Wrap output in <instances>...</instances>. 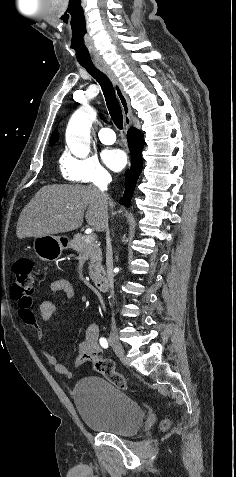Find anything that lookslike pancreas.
Returning <instances> with one entry per match:
<instances>
[{"mask_svg": "<svg viewBox=\"0 0 236 477\" xmlns=\"http://www.w3.org/2000/svg\"><path fill=\"white\" fill-rule=\"evenodd\" d=\"M86 236L77 234L70 241V247L81 254L89 262V276L92 280H97L104 273V268L101 265L102 251L99 244L94 240L89 243L85 242Z\"/></svg>", "mask_w": 236, "mask_h": 477, "instance_id": "1", "label": "pancreas"}]
</instances>
